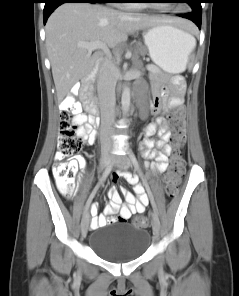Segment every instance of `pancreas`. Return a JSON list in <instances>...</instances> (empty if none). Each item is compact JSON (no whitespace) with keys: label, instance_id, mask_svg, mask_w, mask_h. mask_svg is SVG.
I'll return each instance as SVG.
<instances>
[{"label":"pancreas","instance_id":"cf45deb5","mask_svg":"<svg viewBox=\"0 0 239 296\" xmlns=\"http://www.w3.org/2000/svg\"><path fill=\"white\" fill-rule=\"evenodd\" d=\"M152 70L150 71V77L156 78L160 75H162V71L155 65H150Z\"/></svg>","mask_w":239,"mask_h":296}]
</instances>
